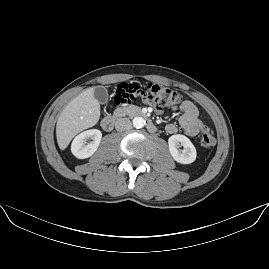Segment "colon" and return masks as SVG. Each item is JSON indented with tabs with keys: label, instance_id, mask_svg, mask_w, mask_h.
Instances as JSON below:
<instances>
[{
	"label": "colon",
	"instance_id": "5ec220e1",
	"mask_svg": "<svg viewBox=\"0 0 269 269\" xmlns=\"http://www.w3.org/2000/svg\"><path fill=\"white\" fill-rule=\"evenodd\" d=\"M134 101L146 102L162 108H173L180 103L181 95L171 87L159 83H148L143 87L137 83H128L118 86L115 95L109 97L107 103L110 106L127 105ZM200 141L205 148H213L216 144L213 131L206 126L202 127Z\"/></svg>",
	"mask_w": 269,
	"mask_h": 269
}]
</instances>
